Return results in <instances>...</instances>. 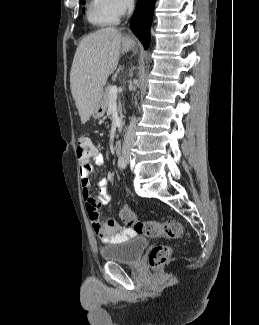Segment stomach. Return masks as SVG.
I'll use <instances>...</instances> for the list:
<instances>
[{
    "instance_id": "stomach-1",
    "label": "stomach",
    "mask_w": 259,
    "mask_h": 325,
    "mask_svg": "<svg viewBox=\"0 0 259 325\" xmlns=\"http://www.w3.org/2000/svg\"><path fill=\"white\" fill-rule=\"evenodd\" d=\"M106 111V106L103 102V100H101L94 108L92 115L94 118H101Z\"/></svg>"
}]
</instances>
